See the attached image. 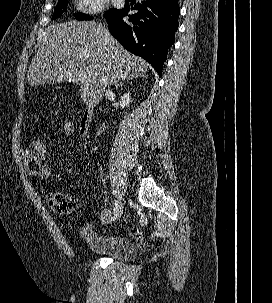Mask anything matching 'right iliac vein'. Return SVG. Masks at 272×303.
<instances>
[{
    "label": "right iliac vein",
    "mask_w": 272,
    "mask_h": 303,
    "mask_svg": "<svg viewBox=\"0 0 272 303\" xmlns=\"http://www.w3.org/2000/svg\"><path fill=\"white\" fill-rule=\"evenodd\" d=\"M122 212H123V205H122L121 199H119L117 201V211H115L114 217L112 220L117 221L121 217Z\"/></svg>",
    "instance_id": "obj_1"
}]
</instances>
